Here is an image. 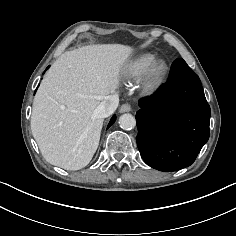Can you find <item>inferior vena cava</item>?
I'll use <instances>...</instances> for the list:
<instances>
[{"instance_id": "1", "label": "inferior vena cava", "mask_w": 236, "mask_h": 236, "mask_svg": "<svg viewBox=\"0 0 236 236\" xmlns=\"http://www.w3.org/2000/svg\"><path fill=\"white\" fill-rule=\"evenodd\" d=\"M119 104L117 94L109 95L97 108V113L101 118H106L114 113Z\"/></svg>"}]
</instances>
